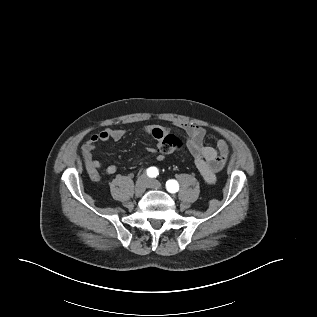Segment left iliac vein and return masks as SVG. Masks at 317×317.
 I'll use <instances>...</instances> for the list:
<instances>
[{
	"mask_svg": "<svg viewBox=\"0 0 317 317\" xmlns=\"http://www.w3.org/2000/svg\"><path fill=\"white\" fill-rule=\"evenodd\" d=\"M148 188L159 190L161 189V183L155 179H149Z\"/></svg>",
	"mask_w": 317,
	"mask_h": 317,
	"instance_id": "1",
	"label": "left iliac vein"
}]
</instances>
